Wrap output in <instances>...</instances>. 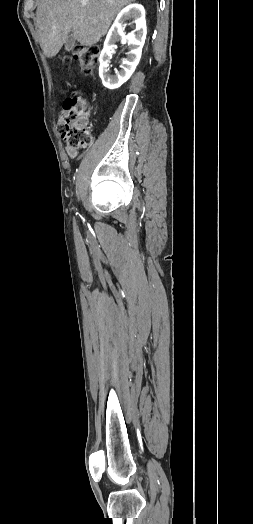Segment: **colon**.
<instances>
[{
  "instance_id": "obj_1",
  "label": "colon",
  "mask_w": 253,
  "mask_h": 524,
  "mask_svg": "<svg viewBox=\"0 0 253 524\" xmlns=\"http://www.w3.org/2000/svg\"><path fill=\"white\" fill-rule=\"evenodd\" d=\"M73 57L78 61L84 74H91L95 62L100 55L96 45H78L73 49ZM71 57L63 58V63H71ZM83 91V88H80ZM79 90H71L62 103L57 122V131L72 149L88 147L92 143V135L86 124L87 104Z\"/></svg>"
}]
</instances>
